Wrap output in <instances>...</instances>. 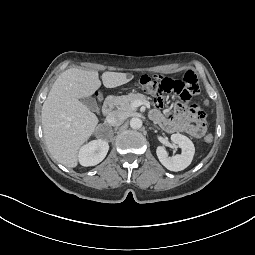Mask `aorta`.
Returning <instances> with one entry per match:
<instances>
[{
    "mask_svg": "<svg viewBox=\"0 0 255 255\" xmlns=\"http://www.w3.org/2000/svg\"><path fill=\"white\" fill-rule=\"evenodd\" d=\"M142 126V120L140 118L137 117H133L130 120V127L132 129H139Z\"/></svg>",
    "mask_w": 255,
    "mask_h": 255,
    "instance_id": "1",
    "label": "aorta"
}]
</instances>
